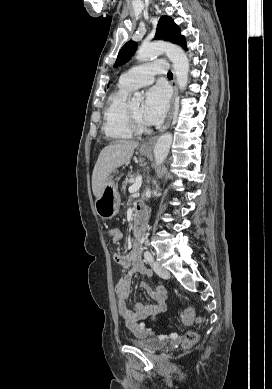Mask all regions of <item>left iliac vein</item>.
Masks as SVG:
<instances>
[{
    "instance_id": "1",
    "label": "left iliac vein",
    "mask_w": 272,
    "mask_h": 389,
    "mask_svg": "<svg viewBox=\"0 0 272 389\" xmlns=\"http://www.w3.org/2000/svg\"><path fill=\"white\" fill-rule=\"evenodd\" d=\"M152 268L161 278L168 279L170 277L169 271L157 262L152 263Z\"/></svg>"
}]
</instances>
